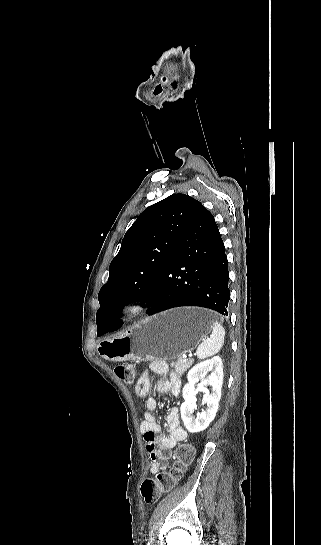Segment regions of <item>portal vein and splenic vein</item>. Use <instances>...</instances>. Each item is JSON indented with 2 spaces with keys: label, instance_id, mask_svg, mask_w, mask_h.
Segmentation results:
<instances>
[{
  "label": "portal vein and splenic vein",
  "instance_id": "obj_1",
  "mask_svg": "<svg viewBox=\"0 0 321 545\" xmlns=\"http://www.w3.org/2000/svg\"><path fill=\"white\" fill-rule=\"evenodd\" d=\"M193 356V353H188L187 357H192ZM187 361V359H186Z\"/></svg>",
  "mask_w": 321,
  "mask_h": 545
}]
</instances>
